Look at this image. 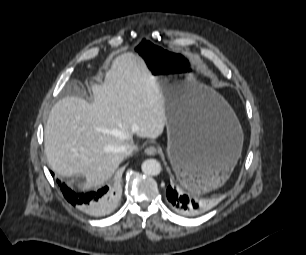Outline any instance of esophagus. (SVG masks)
Returning <instances> with one entry per match:
<instances>
[{
  "label": "esophagus",
  "mask_w": 306,
  "mask_h": 255,
  "mask_svg": "<svg viewBox=\"0 0 306 255\" xmlns=\"http://www.w3.org/2000/svg\"><path fill=\"white\" fill-rule=\"evenodd\" d=\"M145 154L148 155V156H154L158 153V149L157 147L151 145V146H148L145 150H144Z\"/></svg>",
  "instance_id": "1"
}]
</instances>
